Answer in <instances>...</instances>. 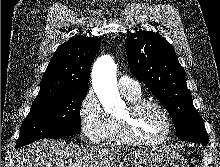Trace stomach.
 Here are the masks:
<instances>
[{"label": "stomach", "mask_w": 220, "mask_h": 167, "mask_svg": "<svg viewBox=\"0 0 220 167\" xmlns=\"http://www.w3.org/2000/svg\"><path fill=\"white\" fill-rule=\"evenodd\" d=\"M119 167H189V164L181 154L162 147L130 152Z\"/></svg>", "instance_id": "stomach-1"}]
</instances>
